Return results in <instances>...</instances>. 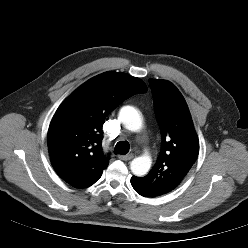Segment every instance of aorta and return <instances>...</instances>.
I'll return each mask as SVG.
<instances>
[{
	"instance_id": "aorta-1",
	"label": "aorta",
	"mask_w": 248,
	"mask_h": 248,
	"mask_svg": "<svg viewBox=\"0 0 248 248\" xmlns=\"http://www.w3.org/2000/svg\"><path fill=\"white\" fill-rule=\"evenodd\" d=\"M119 116L126 129L137 132L142 128V118L134 107H122ZM151 163V158L149 156H141L132 160L130 168L134 175L144 176L149 171Z\"/></svg>"
}]
</instances>
